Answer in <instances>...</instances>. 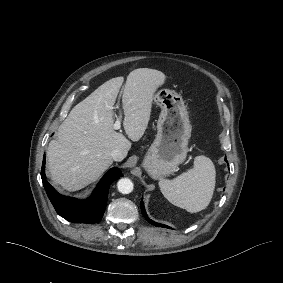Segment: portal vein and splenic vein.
<instances>
[{"label":"portal vein and splenic vein","mask_w":283,"mask_h":283,"mask_svg":"<svg viewBox=\"0 0 283 283\" xmlns=\"http://www.w3.org/2000/svg\"><path fill=\"white\" fill-rule=\"evenodd\" d=\"M113 127H114L115 130H118V129L121 128V120H120V118H118V119L115 121Z\"/></svg>","instance_id":"obj_1"}]
</instances>
